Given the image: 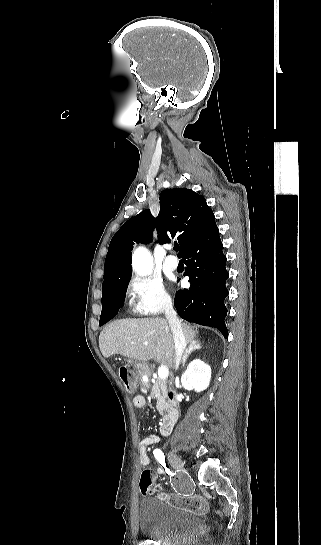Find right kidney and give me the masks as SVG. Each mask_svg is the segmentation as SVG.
I'll list each match as a JSON object with an SVG mask.
<instances>
[{"instance_id": "right-kidney-1", "label": "right kidney", "mask_w": 321, "mask_h": 545, "mask_svg": "<svg viewBox=\"0 0 321 545\" xmlns=\"http://www.w3.org/2000/svg\"><path fill=\"white\" fill-rule=\"evenodd\" d=\"M211 379V367L200 361V359H194L189 363L186 371H184L181 377L182 387L186 391H205L209 387Z\"/></svg>"}]
</instances>
